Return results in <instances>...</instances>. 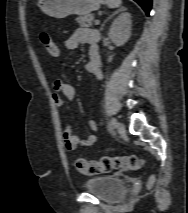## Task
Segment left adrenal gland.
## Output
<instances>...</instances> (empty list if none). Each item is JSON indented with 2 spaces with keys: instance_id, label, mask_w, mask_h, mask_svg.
I'll return each mask as SVG.
<instances>
[{
  "instance_id": "a2214340",
  "label": "left adrenal gland",
  "mask_w": 188,
  "mask_h": 213,
  "mask_svg": "<svg viewBox=\"0 0 188 213\" xmlns=\"http://www.w3.org/2000/svg\"><path fill=\"white\" fill-rule=\"evenodd\" d=\"M124 10H125L124 8H120L118 11H116L115 13H113L110 17H112V16L116 15L117 13H119L120 11H124ZM103 26H104V24H102V26L100 28V31H102Z\"/></svg>"
}]
</instances>
